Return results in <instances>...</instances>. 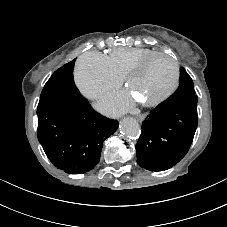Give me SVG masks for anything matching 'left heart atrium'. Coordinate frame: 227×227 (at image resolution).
Wrapping results in <instances>:
<instances>
[{"label": "left heart atrium", "mask_w": 227, "mask_h": 227, "mask_svg": "<svg viewBox=\"0 0 227 227\" xmlns=\"http://www.w3.org/2000/svg\"><path fill=\"white\" fill-rule=\"evenodd\" d=\"M133 106V97L129 92L118 91L106 95L99 103V108L108 114H119Z\"/></svg>", "instance_id": "obj_1"}]
</instances>
